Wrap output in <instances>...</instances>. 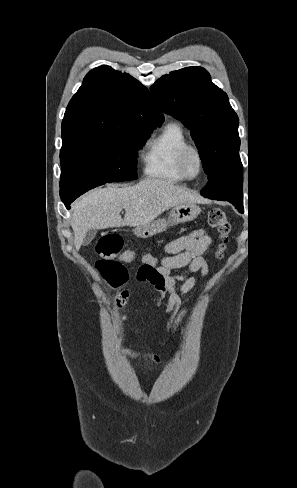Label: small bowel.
<instances>
[{"mask_svg":"<svg viewBox=\"0 0 297 488\" xmlns=\"http://www.w3.org/2000/svg\"><path fill=\"white\" fill-rule=\"evenodd\" d=\"M211 246L212 238L204 229L194 230L168 242L163 248L164 255L159 258V265L146 280L159 293L157 307L166 300L162 313L170 315L167 327L169 337L173 336L179 323L191 310L189 307H182L181 296L199 286V280L194 276L196 273L202 276L208 274L205 256ZM127 253L132 257L122 256L125 263H132L137 259L133 251L127 250ZM180 269L184 270L178 272ZM124 353L136 364L152 366L160 362L155 354L143 355L127 348Z\"/></svg>","mask_w":297,"mask_h":488,"instance_id":"c3829d8e","label":"small bowel"}]
</instances>
